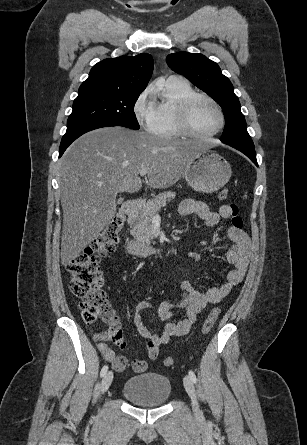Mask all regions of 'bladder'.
Instances as JSON below:
<instances>
[{"label":"bladder","mask_w":307,"mask_h":445,"mask_svg":"<svg viewBox=\"0 0 307 445\" xmlns=\"http://www.w3.org/2000/svg\"><path fill=\"white\" fill-rule=\"evenodd\" d=\"M171 391L172 387L169 379L155 372H145L131 376L122 387V393L126 399L145 408L164 405L169 400Z\"/></svg>","instance_id":"bladder-1"}]
</instances>
